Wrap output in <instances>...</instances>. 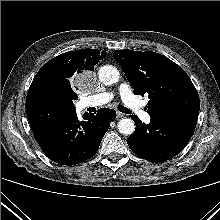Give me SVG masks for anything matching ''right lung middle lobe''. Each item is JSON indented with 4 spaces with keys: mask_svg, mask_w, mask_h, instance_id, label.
Segmentation results:
<instances>
[{
    "mask_svg": "<svg viewBox=\"0 0 220 220\" xmlns=\"http://www.w3.org/2000/svg\"><path fill=\"white\" fill-rule=\"evenodd\" d=\"M77 99L72 84L47 79L30 86L26 101H42L75 109L74 101Z\"/></svg>",
    "mask_w": 220,
    "mask_h": 220,
    "instance_id": "right-lung-middle-lobe-1",
    "label": "right lung middle lobe"
}]
</instances>
